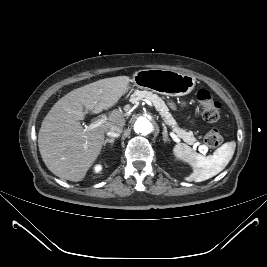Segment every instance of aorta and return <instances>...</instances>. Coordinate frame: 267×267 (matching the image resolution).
Here are the masks:
<instances>
[{"label": "aorta", "mask_w": 267, "mask_h": 267, "mask_svg": "<svg viewBox=\"0 0 267 267\" xmlns=\"http://www.w3.org/2000/svg\"><path fill=\"white\" fill-rule=\"evenodd\" d=\"M153 123L145 116L137 118L134 124V130L142 135H147L153 131Z\"/></svg>", "instance_id": "obj_1"}]
</instances>
